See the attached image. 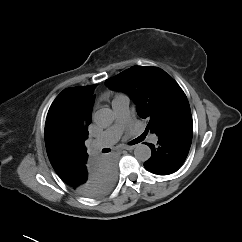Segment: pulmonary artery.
Returning <instances> with one entry per match:
<instances>
[{"mask_svg":"<svg viewBox=\"0 0 242 242\" xmlns=\"http://www.w3.org/2000/svg\"><path fill=\"white\" fill-rule=\"evenodd\" d=\"M128 97L119 94L116 95L113 102L112 107L115 112L116 122L113 126L105 130L94 142L97 148L111 146L116 143L122 135L125 124L129 119L128 115ZM150 140L152 142H156L158 137L156 135H152Z\"/></svg>","mask_w":242,"mask_h":242,"instance_id":"e3ab8cb5","label":"pulmonary artery"}]
</instances>
